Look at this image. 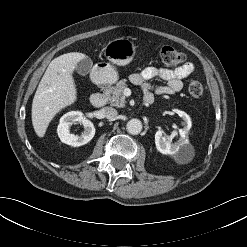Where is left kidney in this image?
<instances>
[{"label":"left kidney","mask_w":247,"mask_h":247,"mask_svg":"<svg viewBox=\"0 0 247 247\" xmlns=\"http://www.w3.org/2000/svg\"><path fill=\"white\" fill-rule=\"evenodd\" d=\"M183 119V128L179 130L181 139L176 143H171L167 138L163 137L162 131H157L155 134V145L157 150L165 155H175L182 148L189 144L188 135L191 129L192 122L187 113L180 110H174Z\"/></svg>","instance_id":"1"}]
</instances>
